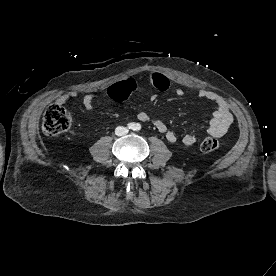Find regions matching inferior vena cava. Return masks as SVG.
Masks as SVG:
<instances>
[{
    "instance_id": "obj_1",
    "label": "inferior vena cava",
    "mask_w": 276,
    "mask_h": 276,
    "mask_svg": "<svg viewBox=\"0 0 276 276\" xmlns=\"http://www.w3.org/2000/svg\"><path fill=\"white\" fill-rule=\"evenodd\" d=\"M127 133H128V129H127L126 127L118 126V127H116V129H115V134H116L117 136H123V135H125V134H127Z\"/></svg>"
}]
</instances>
